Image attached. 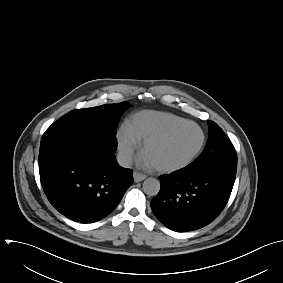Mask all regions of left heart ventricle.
Instances as JSON below:
<instances>
[{"label": "left heart ventricle", "mask_w": 283, "mask_h": 283, "mask_svg": "<svg viewBox=\"0 0 283 283\" xmlns=\"http://www.w3.org/2000/svg\"><path fill=\"white\" fill-rule=\"evenodd\" d=\"M201 139L199 130L193 125H183L165 139L148 145L144 155L153 166L176 165L187 159L197 148Z\"/></svg>", "instance_id": "b2bd125f"}]
</instances>
